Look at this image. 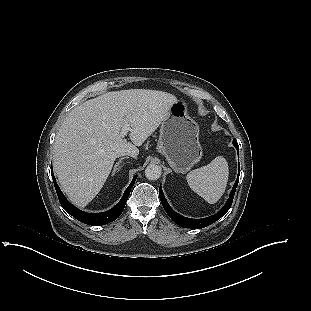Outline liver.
<instances>
[{
    "label": "liver",
    "instance_id": "obj_1",
    "mask_svg": "<svg viewBox=\"0 0 311 311\" xmlns=\"http://www.w3.org/2000/svg\"><path fill=\"white\" fill-rule=\"evenodd\" d=\"M177 98L167 92L129 89L107 92L75 107L61 125L53 147V168L69 200L90 203L122 154H139L136 146L159 127ZM129 124L132 143L121 137Z\"/></svg>",
    "mask_w": 311,
    "mask_h": 311
}]
</instances>
